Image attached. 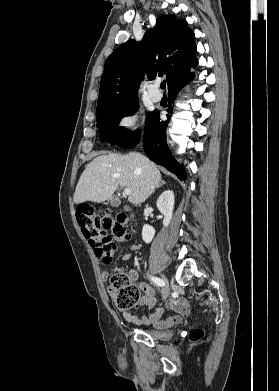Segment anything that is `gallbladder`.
I'll list each match as a JSON object with an SVG mask.
<instances>
[{"mask_svg":"<svg viewBox=\"0 0 279 391\" xmlns=\"http://www.w3.org/2000/svg\"><path fill=\"white\" fill-rule=\"evenodd\" d=\"M111 206L117 207L120 205V200L118 198H112L109 200Z\"/></svg>","mask_w":279,"mask_h":391,"instance_id":"obj_1","label":"gallbladder"}]
</instances>
